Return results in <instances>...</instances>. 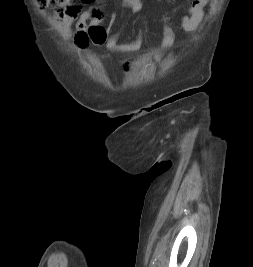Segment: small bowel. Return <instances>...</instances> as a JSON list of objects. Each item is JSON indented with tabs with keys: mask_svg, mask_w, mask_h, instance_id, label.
Returning a JSON list of instances; mask_svg holds the SVG:
<instances>
[{
	"mask_svg": "<svg viewBox=\"0 0 253 267\" xmlns=\"http://www.w3.org/2000/svg\"><path fill=\"white\" fill-rule=\"evenodd\" d=\"M123 7L128 8L131 14H137L142 9L141 0H120ZM190 6L188 13L181 18V25L185 30H193L203 17L204 8L209 0H188ZM55 19L63 28L65 33H69L74 26V42L79 48H86L89 44L90 26H103L106 14L99 6L97 0H71L63 7H58L55 11ZM108 41L106 48L118 53H133L141 49L143 45V33L140 30L135 40L122 42V32L111 33V24L106 28ZM175 40L174 31L167 23L163 24L162 39L158 50L169 49Z\"/></svg>",
	"mask_w": 253,
	"mask_h": 267,
	"instance_id": "small-bowel-1",
	"label": "small bowel"
}]
</instances>
